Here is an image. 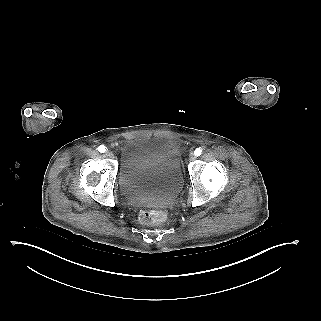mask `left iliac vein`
I'll list each match as a JSON object with an SVG mask.
<instances>
[{
  "label": "left iliac vein",
  "instance_id": "left-iliac-vein-1",
  "mask_svg": "<svg viewBox=\"0 0 321 321\" xmlns=\"http://www.w3.org/2000/svg\"><path fill=\"white\" fill-rule=\"evenodd\" d=\"M189 159L192 160V161L196 159V156H195V154L193 152H191L189 154Z\"/></svg>",
  "mask_w": 321,
  "mask_h": 321
}]
</instances>
